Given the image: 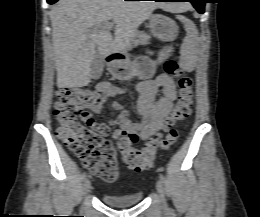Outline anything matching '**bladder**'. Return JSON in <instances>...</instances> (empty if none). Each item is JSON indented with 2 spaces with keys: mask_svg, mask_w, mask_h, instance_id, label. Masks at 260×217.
Wrapping results in <instances>:
<instances>
[{
  "mask_svg": "<svg viewBox=\"0 0 260 217\" xmlns=\"http://www.w3.org/2000/svg\"><path fill=\"white\" fill-rule=\"evenodd\" d=\"M101 199L112 207H127L139 204L143 199V193L138 192L127 195L102 194Z\"/></svg>",
  "mask_w": 260,
  "mask_h": 217,
  "instance_id": "1",
  "label": "bladder"
}]
</instances>
